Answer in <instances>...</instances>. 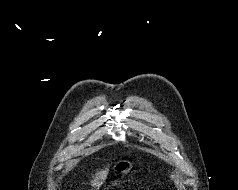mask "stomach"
Listing matches in <instances>:
<instances>
[{
    "instance_id": "obj_1",
    "label": "stomach",
    "mask_w": 238,
    "mask_h": 190,
    "mask_svg": "<svg viewBox=\"0 0 238 190\" xmlns=\"http://www.w3.org/2000/svg\"><path fill=\"white\" fill-rule=\"evenodd\" d=\"M132 164L129 161H119L115 164L113 170L116 175H125L130 172Z\"/></svg>"
}]
</instances>
